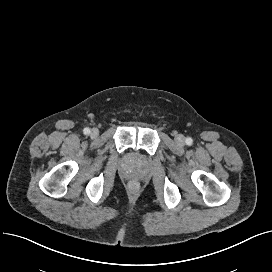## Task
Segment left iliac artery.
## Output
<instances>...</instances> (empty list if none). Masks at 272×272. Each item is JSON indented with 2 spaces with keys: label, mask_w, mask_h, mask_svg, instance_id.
I'll return each mask as SVG.
<instances>
[{
  "label": "left iliac artery",
  "mask_w": 272,
  "mask_h": 272,
  "mask_svg": "<svg viewBox=\"0 0 272 272\" xmlns=\"http://www.w3.org/2000/svg\"><path fill=\"white\" fill-rule=\"evenodd\" d=\"M185 142H186V144L189 145V146L193 144V140H192V138H190V137L186 138V141H185Z\"/></svg>",
  "instance_id": "left-iliac-artery-1"
}]
</instances>
